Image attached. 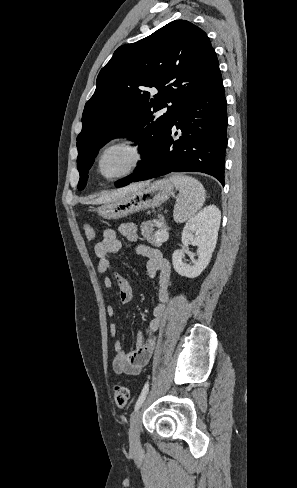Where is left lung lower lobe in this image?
I'll list each match as a JSON object with an SVG mask.
<instances>
[{
	"mask_svg": "<svg viewBox=\"0 0 297 488\" xmlns=\"http://www.w3.org/2000/svg\"><path fill=\"white\" fill-rule=\"evenodd\" d=\"M227 101L221 73L179 114L158 147L153 159L123 185L170 172H202L224 186L228 125ZM179 131L178 139L175 138Z\"/></svg>",
	"mask_w": 297,
	"mask_h": 488,
	"instance_id": "left-lung-lower-lobe-1",
	"label": "left lung lower lobe"
}]
</instances>
